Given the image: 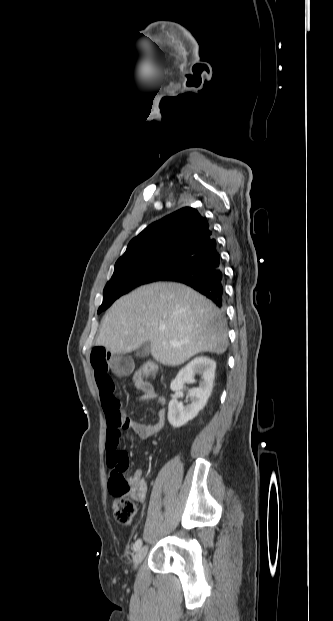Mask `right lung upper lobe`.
Instances as JSON below:
<instances>
[{
  "mask_svg": "<svg viewBox=\"0 0 333 621\" xmlns=\"http://www.w3.org/2000/svg\"><path fill=\"white\" fill-rule=\"evenodd\" d=\"M213 238L207 219L195 208L184 207L146 227L130 241L116 263L160 257L186 258Z\"/></svg>",
  "mask_w": 333,
  "mask_h": 621,
  "instance_id": "1",
  "label": "right lung upper lobe"
}]
</instances>
